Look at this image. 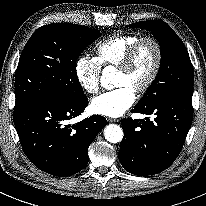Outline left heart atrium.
Returning a JSON list of instances; mask_svg holds the SVG:
<instances>
[{
	"mask_svg": "<svg viewBox=\"0 0 206 206\" xmlns=\"http://www.w3.org/2000/svg\"><path fill=\"white\" fill-rule=\"evenodd\" d=\"M136 94L128 86L105 92L91 101V111L106 117L123 115L135 102Z\"/></svg>",
	"mask_w": 206,
	"mask_h": 206,
	"instance_id": "obj_1",
	"label": "left heart atrium"
}]
</instances>
